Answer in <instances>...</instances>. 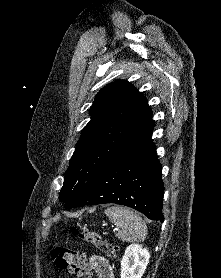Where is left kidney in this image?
Segmentation results:
<instances>
[{"mask_svg": "<svg viewBox=\"0 0 221 278\" xmlns=\"http://www.w3.org/2000/svg\"><path fill=\"white\" fill-rule=\"evenodd\" d=\"M149 258V251L142 245H129L121 260V278H141L148 265Z\"/></svg>", "mask_w": 221, "mask_h": 278, "instance_id": "5707ae66", "label": "left kidney"}]
</instances>
